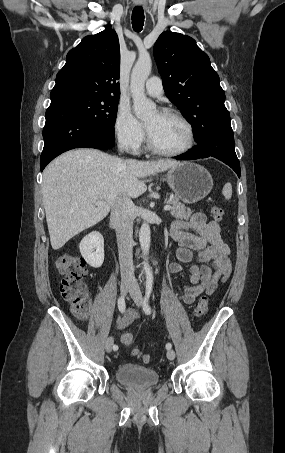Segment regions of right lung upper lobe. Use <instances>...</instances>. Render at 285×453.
Returning <instances> with one entry per match:
<instances>
[{
    "instance_id": "cb5924a9",
    "label": "right lung upper lobe",
    "mask_w": 285,
    "mask_h": 453,
    "mask_svg": "<svg viewBox=\"0 0 285 453\" xmlns=\"http://www.w3.org/2000/svg\"><path fill=\"white\" fill-rule=\"evenodd\" d=\"M120 48L115 30L89 35L71 49L56 76L51 101L69 94L120 97Z\"/></svg>"
}]
</instances>
